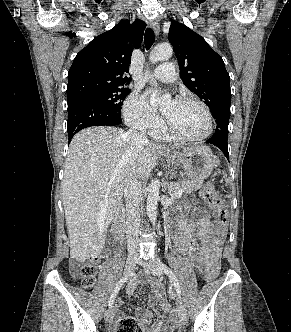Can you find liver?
<instances>
[{
    "label": "liver",
    "instance_id": "obj_1",
    "mask_svg": "<svg viewBox=\"0 0 291 332\" xmlns=\"http://www.w3.org/2000/svg\"><path fill=\"white\" fill-rule=\"evenodd\" d=\"M170 149L175 148L154 143L139 147L131 143L129 132L116 127H90L74 136L62 185L71 258L84 262L99 256L107 227L120 212L126 175L145 180Z\"/></svg>",
    "mask_w": 291,
    "mask_h": 332
}]
</instances>
